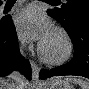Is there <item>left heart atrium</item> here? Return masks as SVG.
<instances>
[{"label":"left heart atrium","mask_w":89,"mask_h":89,"mask_svg":"<svg viewBox=\"0 0 89 89\" xmlns=\"http://www.w3.org/2000/svg\"><path fill=\"white\" fill-rule=\"evenodd\" d=\"M15 26L20 36L25 40L45 42L53 31L50 20L35 6L22 9L16 16Z\"/></svg>","instance_id":"39dd6f15"}]
</instances>
